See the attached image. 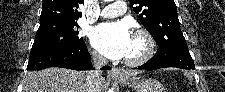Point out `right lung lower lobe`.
<instances>
[{"label": "right lung lower lobe", "instance_id": "obj_1", "mask_svg": "<svg viewBox=\"0 0 225 92\" xmlns=\"http://www.w3.org/2000/svg\"><path fill=\"white\" fill-rule=\"evenodd\" d=\"M48 67H62L73 70H91V56L85 42L76 46H65L31 52L28 70H40ZM104 66L102 69H109Z\"/></svg>", "mask_w": 225, "mask_h": 92}]
</instances>
